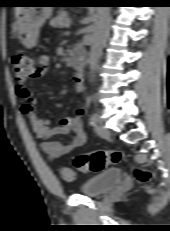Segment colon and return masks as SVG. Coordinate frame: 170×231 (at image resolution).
<instances>
[{
    "instance_id": "obj_1",
    "label": "colon",
    "mask_w": 170,
    "mask_h": 231,
    "mask_svg": "<svg viewBox=\"0 0 170 231\" xmlns=\"http://www.w3.org/2000/svg\"><path fill=\"white\" fill-rule=\"evenodd\" d=\"M12 68L17 84H25L30 78L36 75V62H34L23 51L16 52L11 59ZM123 155L118 150L95 151L77 155L74 158V166L81 172H98L109 165L119 163ZM61 178L66 182L75 180V172L65 166L58 169ZM133 174L138 181H147L150 173L140 167H134Z\"/></svg>"
}]
</instances>
